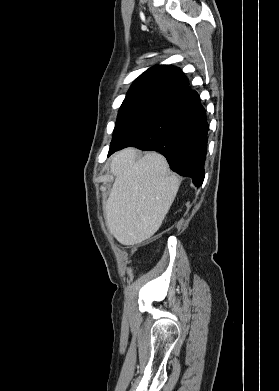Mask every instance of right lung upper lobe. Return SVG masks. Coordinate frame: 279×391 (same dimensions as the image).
I'll list each match as a JSON object with an SVG mask.
<instances>
[{"mask_svg":"<svg viewBox=\"0 0 279 391\" xmlns=\"http://www.w3.org/2000/svg\"><path fill=\"white\" fill-rule=\"evenodd\" d=\"M188 79L174 66L155 65L132 84L120 110L136 107H160L190 92Z\"/></svg>","mask_w":279,"mask_h":391,"instance_id":"obj_1","label":"right lung upper lobe"}]
</instances>
